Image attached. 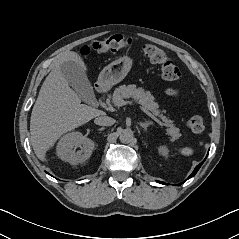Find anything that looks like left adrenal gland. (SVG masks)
<instances>
[{"label":"left adrenal gland","mask_w":239,"mask_h":239,"mask_svg":"<svg viewBox=\"0 0 239 239\" xmlns=\"http://www.w3.org/2000/svg\"><path fill=\"white\" fill-rule=\"evenodd\" d=\"M152 124V121L140 122V126L144 129L145 132L147 131V128Z\"/></svg>","instance_id":"a2214340"}]
</instances>
